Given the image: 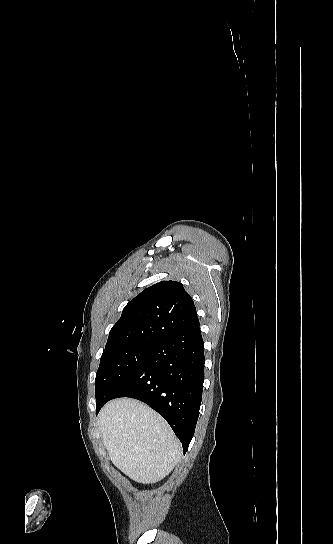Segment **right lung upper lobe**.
Here are the masks:
<instances>
[{
	"instance_id": "cb5924a9",
	"label": "right lung upper lobe",
	"mask_w": 333,
	"mask_h": 544,
	"mask_svg": "<svg viewBox=\"0 0 333 544\" xmlns=\"http://www.w3.org/2000/svg\"><path fill=\"white\" fill-rule=\"evenodd\" d=\"M199 324L191 296L182 284L162 281L139 293L109 332L104 351L153 344Z\"/></svg>"
}]
</instances>
